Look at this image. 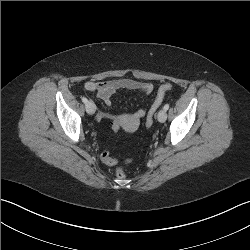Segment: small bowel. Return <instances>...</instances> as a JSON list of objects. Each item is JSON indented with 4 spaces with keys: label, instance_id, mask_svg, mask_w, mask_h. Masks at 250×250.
<instances>
[{
    "label": "small bowel",
    "instance_id": "c3829d8e",
    "mask_svg": "<svg viewBox=\"0 0 250 250\" xmlns=\"http://www.w3.org/2000/svg\"><path fill=\"white\" fill-rule=\"evenodd\" d=\"M84 88L87 91L95 92L97 97L104 102L106 106L111 104L112 96L119 90H132L139 91L146 96H150L154 93V86L151 83L141 82L129 78L114 79L108 81H86L84 83ZM145 115L143 109H138L130 115H119L112 116L106 113H100L98 119L102 117L111 118L120 117V127L123 123L137 122Z\"/></svg>",
    "mask_w": 250,
    "mask_h": 250
}]
</instances>
